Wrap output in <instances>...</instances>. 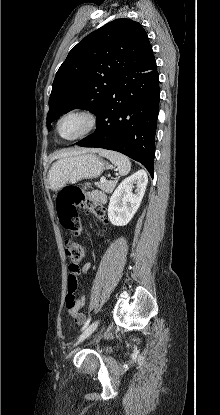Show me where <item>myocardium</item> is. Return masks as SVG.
<instances>
[{"mask_svg": "<svg viewBox=\"0 0 220 415\" xmlns=\"http://www.w3.org/2000/svg\"><path fill=\"white\" fill-rule=\"evenodd\" d=\"M70 116L82 117L85 120L86 125L80 133L72 137L66 138V137L61 136L59 132V127H60L61 122L65 118L70 117ZM98 124H99V119H98L97 114L94 111L87 109V108H74V109L66 111L57 119L56 124H55V131H56V134L61 139L66 140V141H74V140L81 139L91 134L93 131L96 130V128L98 127Z\"/></svg>", "mask_w": 220, "mask_h": 415, "instance_id": "myocardium-1", "label": "myocardium"}]
</instances>
